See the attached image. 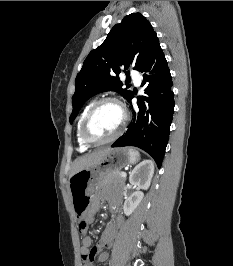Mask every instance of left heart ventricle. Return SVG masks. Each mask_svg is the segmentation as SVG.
<instances>
[{"mask_svg": "<svg viewBox=\"0 0 233 266\" xmlns=\"http://www.w3.org/2000/svg\"><path fill=\"white\" fill-rule=\"evenodd\" d=\"M122 111L114 103H105L92 116L88 125V135L94 140L112 136L122 122Z\"/></svg>", "mask_w": 233, "mask_h": 266, "instance_id": "obj_1", "label": "left heart ventricle"}]
</instances>
